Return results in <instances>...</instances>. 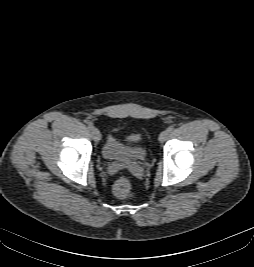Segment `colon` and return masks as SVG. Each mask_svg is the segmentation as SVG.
I'll return each mask as SVG.
<instances>
[{"label": "colon", "mask_w": 254, "mask_h": 267, "mask_svg": "<svg viewBox=\"0 0 254 267\" xmlns=\"http://www.w3.org/2000/svg\"><path fill=\"white\" fill-rule=\"evenodd\" d=\"M128 139L130 141H138L140 139V136L139 135H131ZM113 191H114L115 195L120 197V198H127V197L131 196L132 184H131L130 179L126 176L119 178L113 186Z\"/></svg>", "instance_id": "colon-1"}]
</instances>
